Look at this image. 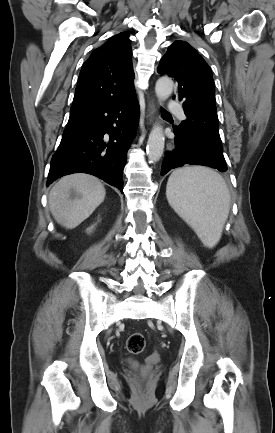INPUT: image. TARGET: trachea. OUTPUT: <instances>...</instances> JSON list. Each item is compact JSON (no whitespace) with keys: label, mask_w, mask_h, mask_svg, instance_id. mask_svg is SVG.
<instances>
[{"label":"trachea","mask_w":275,"mask_h":433,"mask_svg":"<svg viewBox=\"0 0 275 433\" xmlns=\"http://www.w3.org/2000/svg\"><path fill=\"white\" fill-rule=\"evenodd\" d=\"M164 114H165V115H169L166 111H164Z\"/></svg>","instance_id":"3493384b"}]
</instances>
